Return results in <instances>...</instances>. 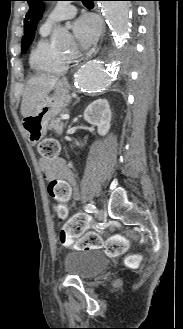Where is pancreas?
Listing matches in <instances>:
<instances>
[{
	"label": "pancreas",
	"mask_w": 183,
	"mask_h": 329,
	"mask_svg": "<svg viewBox=\"0 0 183 329\" xmlns=\"http://www.w3.org/2000/svg\"><path fill=\"white\" fill-rule=\"evenodd\" d=\"M63 127H64V124L63 122L61 121V118H56V119H53L51 122H50V125H49V129L50 130H54L57 134L61 135L62 132H63Z\"/></svg>",
	"instance_id": "1"
}]
</instances>
